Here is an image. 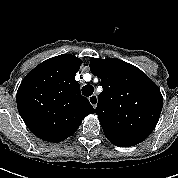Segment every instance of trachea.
Wrapping results in <instances>:
<instances>
[{
    "mask_svg": "<svg viewBox=\"0 0 178 178\" xmlns=\"http://www.w3.org/2000/svg\"><path fill=\"white\" fill-rule=\"evenodd\" d=\"M94 88L92 85H85L82 88V94L86 97H89L93 94Z\"/></svg>",
    "mask_w": 178,
    "mask_h": 178,
    "instance_id": "3493384b",
    "label": "trachea"
}]
</instances>
